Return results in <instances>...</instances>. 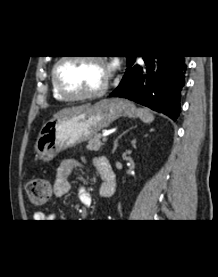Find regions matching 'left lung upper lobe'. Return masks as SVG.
Here are the masks:
<instances>
[{
	"label": "left lung upper lobe",
	"mask_w": 218,
	"mask_h": 277,
	"mask_svg": "<svg viewBox=\"0 0 218 277\" xmlns=\"http://www.w3.org/2000/svg\"><path fill=\"white\" fill-rule=\"evenodd\" d=\"M126 57H127L128 62H130V60H131L134 56H126Z\"/></svg>",
	"instance_id": "5c2ea615"
}]
</instances>
